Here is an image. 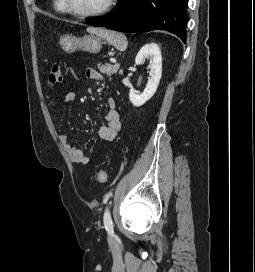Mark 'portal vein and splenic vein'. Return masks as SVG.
<instances>
[{"instance_id": "obj_1", "label": "portal vein and splenic vein", "mask_w": 255, "mask_h": 272, "mask_svg": "<svg viewBox=\"0 0 255 272\" xmlns=\"http://www.w3.org/2000/svg\"><path fill=\"white\" fill-rule=\"evenodd\" d=\"M111 61H112L113 63H115V62H116V59L113 58V59H111Z\"/></svg>"}]
</instances>
